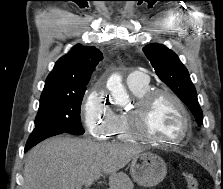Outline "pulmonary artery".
<instances>
[{"label": "pulmonary artery", "instance_id": "pulmonary-artery-1", "mask_svg": "<svg viewBox=\"0 0 223 189\" xmlns=\"http://www.w3.org/2000/svg\"><path fill=\"white\" fill-rule=\"evenodd\" d=\"M148 82H149V79H148L147 74L141 70H135L131 72L128 75V78L126 81L129 88L142 87V86L147 85Z\"/></svg>", "mask_w": 223, "mask_h": 189}]
</instances>
